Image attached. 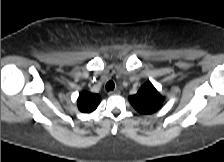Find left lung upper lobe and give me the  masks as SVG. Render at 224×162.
<instances>
[{"instance_id": "1", "label": "left lung upper lobe", "mask_w": 224, "mask_h": 162, "mask_svg": "<svg viewBox=\"0 0 224 162\" xmlns=\"http://www.w3.org/2000/svg\"><path fill=\"white\" fill-rule=\"evenodd\" d=\"M129 102L139 113L151 114L160 109L163 97L148 81L138 90L137 94L129 97Z\"/></svg>"}]
</instances>
